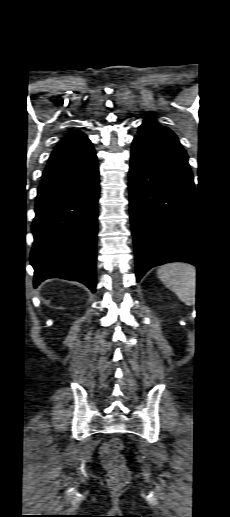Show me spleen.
<instances>
[{
    "label": "spleen",
    "instance_id": "1",
    "mask_svg": "<svg viewBox=\"0 0 230 517\" xmlns=\"http://www.w3.org/2000/svg\"><path fill=\"white\" fill-rule=\"evenodd\" d=\"M159 279L186 305H193L196 296V268L185 263H171L157 270Z\"/></svg>",
    "mask_w": 230,
    "mask_h": 517
}]
</instances>
